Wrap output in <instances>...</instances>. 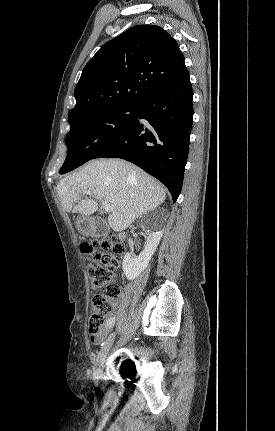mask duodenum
I'll use <instances>...</instances> for the list:
<instances>
[{"label":"duodenum","instance_id":"410a0bca","mask_svg":"<svg viewBox=\"0 0 275 431\" xmlns=\"http://www.w3.org/2000/svg\"><path fill=\"white\" fill-rule=\"evenodd\" d=\"M89 231H90L91 234H94V235H96V234L99 233V230H98V228L95 225H90ZM119 238L123 239L124 238V234L123 233H119Z\"/></svg>","mask_w":275,"mask_h":431}]
</instances>
